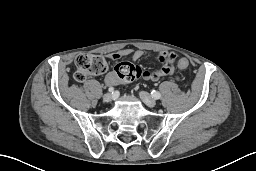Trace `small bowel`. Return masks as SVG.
<instances>
[{"mask_svg":"<svg viewBox=\"0 0 256 171\" xmlns=\"http://www.w3.org/2000/svg\"><path fill=\"white\" fill-rule=\"evenodd\" d=\"M130 56L133 60H139L146 56V53L140 49H133V48H124L118 51H115L109 55L112 60H118L122 57ZM170 56H174L173 54L167 52H160L158 54V59L163 63V66L154 71L144 70L142 77L145 80L150 81H159L163 77L168 76H175L174 68L167 63V58ZM180 60L185 61V65L183 67H179L180 69H185L188 66V61L186 58H181ZM177 78V77H176ZM105 82L107 85L115 86L118 84V77L115 71L109 72L105 77Z\"/></svg>","mask_w":256,"mask_h":171,"instance_id":"obj_1","label":"small bowel"}]
</instances>
